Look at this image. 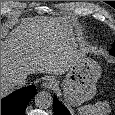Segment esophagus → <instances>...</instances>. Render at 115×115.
Masks as SVG:
<instances>
[{
    "label": "esophagus",
    "instance_id": "34e87169",
    "mask_svg": "<svg viewBox=\"0 0 115 115\" xmlns=\"http://www.w3.org/2000/svg\"><path fill=\"white\" fill-rule=\"evenodd\" d=\"M56 86V81L53 78H48L43 82V87L46 89H53Z\"/></svg>",
    "mask_w": 115,
    "mask_h": 115
}]
</instances>
